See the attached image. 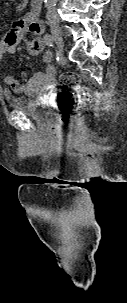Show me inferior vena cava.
I'll return each mask as SVG.
<instances>
[{
	"instance_id": "602c4592",
	"label": "inferior vena cava",
	"mask_w": 127,
	"mask_h": 303,
	"mask_svg": "<svg viewBox=\"0 0 127 303\" xmlns=\"http://www.w3.org/2000/svg\"><path fill=\"white\" fill-rule=\"evenodd\" d=\"M49 16H50L51 18L58 19V15H57V13H56L55 10H52V11L50 12Z\"/></svg>"
}]
</instances>
